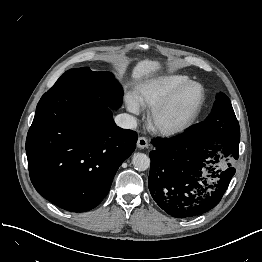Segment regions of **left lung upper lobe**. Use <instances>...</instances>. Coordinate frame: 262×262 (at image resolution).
Instances as JSON below:
<instances>
[{
    "mask_svg": "<svg viewBox=\"0 0 262 262\" xmlns=\"http://www.w3.org/2000/svg\"><path fill=\"white\" fill-rule=\"evenodd\" d=\"M225 131L239 132L240 129L230 99L220 92L216 95V101L206 120L186 132L193 135L210 136Z\"/></svg>",
    "mask_w": 262,
    "mask_h": 262,
    "instance_id": "1",
    "label": "left lung upper lobe"
}]
</instances>
